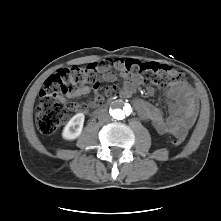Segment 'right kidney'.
I'll return each instance as SVG.
<instances>
[{"mask_svg": "<svg viewBox=\"0 0 221 221\" xmlns=\"http://www.w3.org/2000/svg\"><path fill=\"white\" fill-rule=\"evenodd\" d=\"M85 116L83 113L74 115L69 122L65 125L62 131V137L66 140H74L80 136Z\"/></svg>", "mask_w": 221, "mask_h": 221, "instance_id": "1", "label": "right kidney"}]
</instances>
